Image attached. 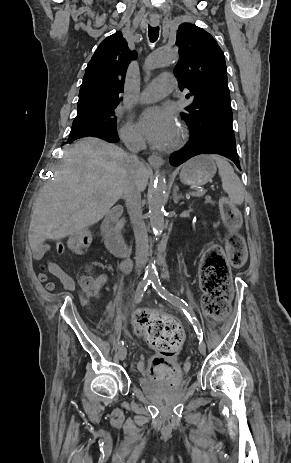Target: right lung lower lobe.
Listing matches in <instances>:
<instances>
[{"label":"right lung lower lobe","instance_id":"right-lung-lower-lobe-1","mask_svg":"<svg viewBox=\"0 0 291 463\" xmlns=\"http://www.w3.org/2000/svg\"><path fill=\"white\" fill-rule=\"evenodd\" d=\"M90 137L101 138V139L106 140V141L111 142V143H115V142L119 141V137H118L117 133H99V134L90 135ZM72 141H74V140H70V141H68V143H71Z\"/></svg>","mask_w":291,"mask_h":463}]
</instances>
